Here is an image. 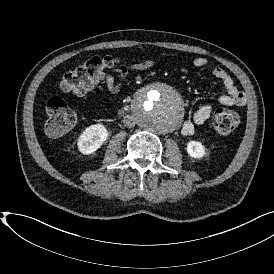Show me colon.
Segmentation results:
<instances>
[{"instance_id": "colon-1", "label": "colon", "mask_w": 274, "mask_h": 274, "mask_svg": "<svg viewBox=\"0 0 274 274\" xmlns=\"http://www.w3.org/2000/svg\"><path fill=\"white\" fill-rule=\"evenodd\" d=\"M119 64L110 56H95L75 66L66 72L60 82L64 93L85 85L102 72L109 74L121 71ZM49 118L46 122L45 132L49 138H59L67 133L75 124L76 114L68 107L65 97L51 96L46 104ZM239 125L237 112L219 109L212 117V126L216 134L227 136L233 133Z\"/></svg>"}]
</instances>
